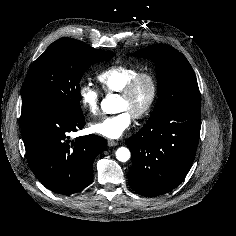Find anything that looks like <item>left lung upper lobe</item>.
<instances>
[{
  "label": "left lung upper lobe",
  "mask_w": 236,
  "mask_h": 236,
  "mask_svg": "<svg viewBox=\"0 0 236 236\" xmlns=\"http://www.w3.org/2000/svg\"><path fill=\"white\" fill-rule=\"evenodd\" d=\"M133 56L151 59L156 65L159 99L147 123L174 110L201 108L194 70L179 51L157 44L136 51Z\"/></svg>",
  "instance_id": "left-lung-upper-lobe-1"
}]
</instances>
